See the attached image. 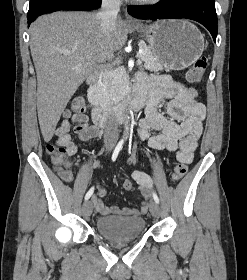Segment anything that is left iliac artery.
<instances>
[{"label": "left iliac artery", "mask_w": 247, "mask_h": 280, "mask_svg": "<svg viewBox=\"0 0 247 280\" xmlns=\"http://www.w3.org/2000/svg\"><path fill=\"white\" fill-rule=\"evenodd\" d=\"M153 198H154V201L159 204V198L158 196L156 195V193L153 192Z\"/></svg>", "instance_id": "1"}]
</instances>
